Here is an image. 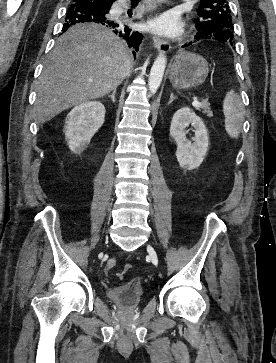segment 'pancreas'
I'll list each match as a JSON object with an SVG mask.
<instances>
[{"label": "pancreas", "mask_w": 276, "mask_h": 363, "mask_svg": "<svg viewBox=\"0 0 276 363\" xmlns=\"http://www.w3.org/2000/svg\"><path fill=\"white\" fill-rule=\"evenodd\" d=\"M202 105L197 107V110H201L202 109V113L207 114L208 117H212L213 113L210 110V104L207 101H203L201 103Z\"/></svg>", "instance_id": "cf45deb5"}]
</instances>
